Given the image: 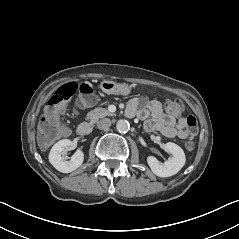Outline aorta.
I'll return each instance as SVG.
<instances>
[{
	"mask_svg": "<svg viewBox=\"0 0 239 239\" xmlns=\"http://www.w3.org/2000/svg\"><path fill=\"white\" fill-rule=\"evenodd\" d=\"M119 133H126L129 130V123L126 120H119L116 124Z\"/></svg>",
	"mask_w": 239,
	"mask_h": 239,
	"instance_id": "1",
	"label": "aorta"
}]
</instances>
